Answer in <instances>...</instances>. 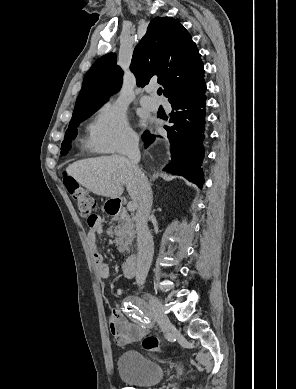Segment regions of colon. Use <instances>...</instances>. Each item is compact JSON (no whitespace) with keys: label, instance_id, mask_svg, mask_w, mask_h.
Segmentation results:
<instances>
[{"label":"colon","instance_id":"obj_1","mask_svg":"<svg viewBox=\"0 0 296 389\" xmlns=\"http://www.w3.org/2000/svg\"><path fill=\"white\" fill-rule=\"evenodd\" d=\"M64 184L75 201L80 214L88 217V222L92 223L94 221L92 211L95 208V200L93 197L71 177L65 176ZM142 347L149 352L158 351L160 349V341L154 336H147L142 341Z\"/></svg>","mask_w":296,"mask_h":389}]
</instances>
